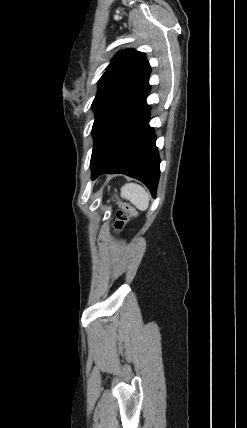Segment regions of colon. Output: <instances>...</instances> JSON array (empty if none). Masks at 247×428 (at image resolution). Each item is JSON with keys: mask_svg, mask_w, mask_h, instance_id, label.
Masks as SVG:
<instances>
[{"mask_svg": "<svg viewBox=\"0 0 247 428\" xmlns=\"http://www.w3.org/2000/svg\"><path fill=\"white\" fill-rule=\"evenodd\" d=\"M118 209L115 214L114 226L116 230L121 231L125 225L136 215L135 209L127 202L116 201Z\"/></svg>", "mask_w": 247, "mask_h": 428, "instance_id": "1", "label": "colon"}]
</instances>
